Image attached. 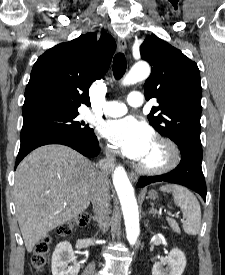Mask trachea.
<instances>
[{
  "label": "trachea",
  "mask_w": 225,
  "mask_h": 275,
  "mask_svg": "<svg viewBox=\"0 0 225 275\" xmlns=\"http://www.w3.org/2000/svg\"><path fill=\"white\" fill-rule=\"evenodd\" d=\"M126 58L123 53H117L113 59V74L116 80H120L126 72Z\"/></svg>",
  "instance_id": "1"
}]
</instances>
